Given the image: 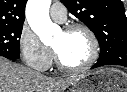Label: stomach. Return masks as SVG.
I'll use <instances>...</instances> for the list:
<instances>
[{"label": "stomach", "mask_w": 127, "mask_h": 92, "mask_svg": "<svg viewBox=\"0 0 127 92\" xmlns=\"http://www.w3.org/2000/svg\"><path fill=\"white\" fill-rule=\"evenodd\" d=\"M70 92H127V74L114 68L88 72L77 78Z\"/></svg>", "instance_id": "stomach-1"}]
</instances>
